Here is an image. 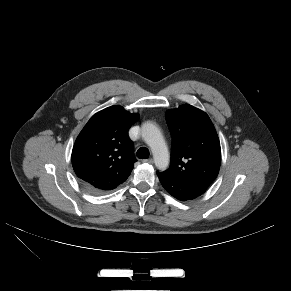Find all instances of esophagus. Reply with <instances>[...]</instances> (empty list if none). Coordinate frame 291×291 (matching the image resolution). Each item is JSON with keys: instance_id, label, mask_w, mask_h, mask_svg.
I'll list each match as a JSON object with an SVG mask.
<instances>
[{"instance_id": "34e87169", "label": "esophagus", "mask_w": 291, "mask_h": 291, "mask_svg": "<svg viewBox=\"0 0 291 291\" xmlns=\"http://www.w3.org/2000/svg\"><path fill=\"white\" fill-rule=\"evenodd\" d=\"M143 162H145V163H149V164H152L154 161H153L152 158H149V159H145V160H143Z\"/></svg>"}]
</instances>
